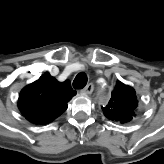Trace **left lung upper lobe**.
<instances>
[{"label": "left lung upper lobe", "instance_id": "1", "mask_svg": "<svg viewBox=\"0 0 164 164\" xmlns=\"http://www.w3.org/2000/svg\"><path fill=\"white\" fill-rule=\"evenodd\" d=\"M137 104L135 90L118 81L108 105L103 108V112L109 120L127 123L133 119Z\"/></svg>", "mask_w": 164, "mask_h": 164}]
</instances>
